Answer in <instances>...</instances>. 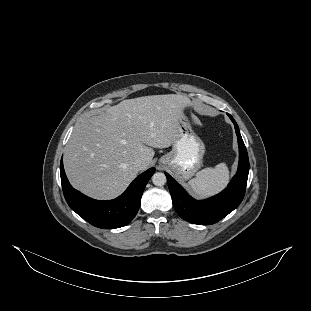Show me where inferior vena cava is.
Wrapping results in <instances>:
<instances>
[{"label":"inferior vena cava","mask_w":311,"mask_h":311,"mask_svg":"<svg viewBox=\"0 0 311 311\" xmlns=\"http://www.w3.org/2000/svg\"><path fill=\"white\" fill-rule=\"evenodd\" d=\"M141 164H142V160H141V158H137V159H135V161H134V165H136V166H141Z\"/></svg>","instance_id":"obj_1"}]
</instances>
